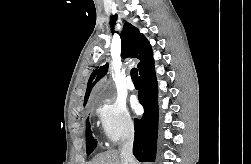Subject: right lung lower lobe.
<instances>
[{
    "mask_svg": "<svg viewBox=\"0 0 251 164\" xmlns=\"http://www.w3.org/2000/svg\"><path fill=\"white\" fill-rule=\"evenodd\" d=\"M140 82L138 98L145 113L141 119L134 120L133 154L140 162H154L158 130L157 81L154 65L140 74Z\"/></svg>",
    "mask_w": 251,
    "mask_h": 164,
    "instance_id": "98d812e1",
    "label": "right lung lower lobe"
}]
</instances>
